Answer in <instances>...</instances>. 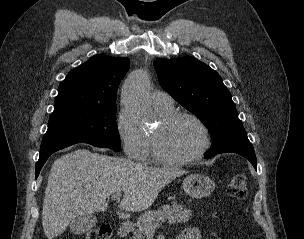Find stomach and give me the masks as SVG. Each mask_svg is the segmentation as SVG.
<instances>
[{"label":"stomach","mask_w":304,"mask_h":239,"mask_svg":"<svg viewBox=\"0 0 304 239\" xmlns=\"http://www.w3.org/2000/svg\"><path fill=\"white\" fill-rule=\"evenodd\" d=\"M215 188V183L202 174L188 175L183 181V189L193 198H202L210 195Z\"/></svg>","instance_id":"1"}]
</instances>
